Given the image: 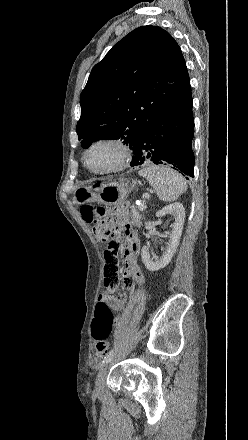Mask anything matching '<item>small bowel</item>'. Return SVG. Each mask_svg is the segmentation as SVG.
Returning <instances> with one entry per match:
<instances>
[{
  "instance_id": "small-bowel-1",
  "label": "small bowel",
  "mask_w": 248,
  "mask_h": 440,
  "mask_svg": "<svg viewBox=\"0 0 248 440\" xmlns=\"http://www.w3.org/2000/svg\"><path fill=\"white\" fill-rule=\"evenodd\" d=\"M113 224L116 228L122 229L126 237V245L124 250L125 271L124 285L130 287L132 285L141 286L144 283V275L138 265L137 256L140 252V241L137 233L128 222L126 207L118 208L114 215ZM102 276L106 292L98 298L100 303H106L111 309L119 311L123 304V295L115 296L120 291L122 278L120 269L121 259L119 257L103 258ZM118 322V320H116Z\"/></svg>"
}]
</instances>
